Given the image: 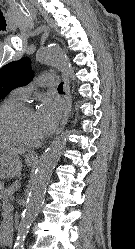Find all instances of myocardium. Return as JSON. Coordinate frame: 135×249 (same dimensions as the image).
I'll list each match as a JSON object with an SVG mask.
<instances>
[{
	"mask_svg": "<svg viewBox=\"0 0 135 249\" xmlns=\"http://www.w3.org/2000/svg\"><path fill=\"white\" fill-rule=\"evenodd\" d=\"M27 111H33L32 106L27 103H20L10 107L0 117V129L16 144L26 147H35L41 144L43 138L40 137L39 139L34 141L26 140L18 133L15 127V120L17 119V117Z\"/></svg>",
	"mask_w": 135,
	"mask_h": 249,
	"instance_id": "f54148a6",
	"label": "myocardium"
}]
</instances>
